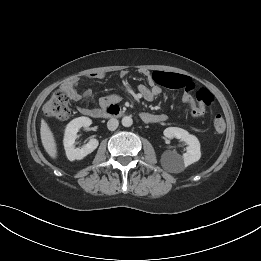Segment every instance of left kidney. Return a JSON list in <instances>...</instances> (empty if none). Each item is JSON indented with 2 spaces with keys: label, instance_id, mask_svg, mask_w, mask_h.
<instances>
[{
  "label": "left kidney",
  "instance_id": "left-kidney-1",
  "mask_svg": "<svg viewBox=\"0 0 261 261\" xmlns=\"http://www.w3.org/2000/svg\"><path fill=\"white\" fill-rule=\"evenodd\" d=\"M163 134L169 139L177 138L187 144V151L183 156L172 151H165L162 154L161 161L165 168L172 171H181L184 167H187L200 159V143L194 135H191L186 130L178 127H168L164 130Z\"/></svg>",
  "mask_w": 261,
  "mask_h": 261
}]
</instances>
